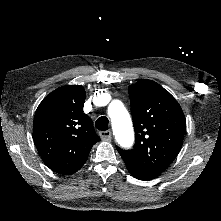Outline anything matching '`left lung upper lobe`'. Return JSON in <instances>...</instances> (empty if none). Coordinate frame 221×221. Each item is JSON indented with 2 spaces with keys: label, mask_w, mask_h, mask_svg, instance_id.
I'll return each instance as SVG.
<instances>
[{
  "label": "left lung upper lobe",
  "mask_w": 221,
  "mask_h": 221,
  "mask_svg": "<svg viewBox=\"0 0 221 221\" xmlns=\"http://www.w3.org/2000/svg\"><path fill=\"white\" fill-rule=\"evenodd\" d=\"M128 92L136 142L132 150H117L129 171L151 180L179 153L186 119L175 98L152 80H139Z\"/></svg>",
  "instance_id": "left-lung-upper-lobe-1"
}]
</instances>
